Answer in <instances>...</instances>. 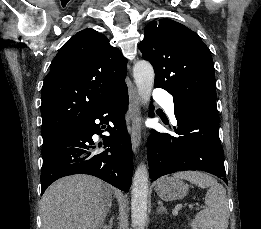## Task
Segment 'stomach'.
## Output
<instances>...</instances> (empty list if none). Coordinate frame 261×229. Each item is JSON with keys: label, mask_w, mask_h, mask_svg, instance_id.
Returning <instances> with one entry per match:
<instances>
[{"label": "stomach", "mask_w": 261, "mask_h": 229, "mask_svg": "<svg viewBox=\"0 0 261 229\" xmlns=\"http://www.w3.org/2000/svg\"><path fill=\"white\" fill-rule=\"evenodd\" d=\"M188 191V185L174 177H164L155 183V193L162 201H178L184 199Z\"/></svg>", "instance_id": "stomach-1"}]
</instances>
